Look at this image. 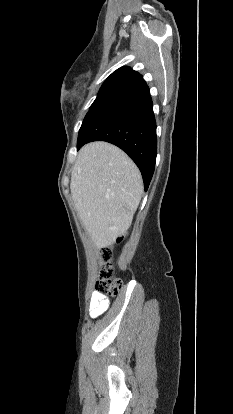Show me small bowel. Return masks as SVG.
Returning <instances> with one entry per match:
<instances>
[{"mask_svg": "<svg viewBox=\"0 0 233 414\" xmlns=\"http://www.w3.org/2000/svg\"><path fill=\"white\" fill-rule=\"evenodd\" d=\"M110 301L103 293L95 291L91 295L89 304V314L91 318L102 315L109 307Z\"/></svg>", "mask_w": 233, "mask_h": 414, "instance_id": "c3829d8e", "label": "small bowel"}]
</instances>
